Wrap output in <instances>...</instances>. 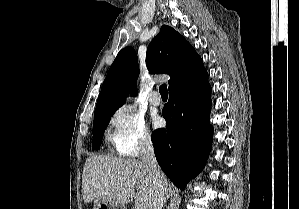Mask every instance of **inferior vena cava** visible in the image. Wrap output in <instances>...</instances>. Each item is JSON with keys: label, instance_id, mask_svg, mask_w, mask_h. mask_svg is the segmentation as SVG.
Masks as SVG:
<instances>
[{"label": "inferior vena cava", "instance_id": "1", "mask_svg": "<svg viewBox=\"0 0 299 209\" xmlns=\"http://www.w3.org/2000/svg\"><path fill=\"white\" fill-rule=\"evenodd\" d=\"M140 160L148 170L158 190V198L154 203V209H162L166 202L164 189L165 176L155 158L154 148L150 138H144L141 142Z\"/></svg>", "mask_w": 299, "mask_h": 209}]
</instances>
